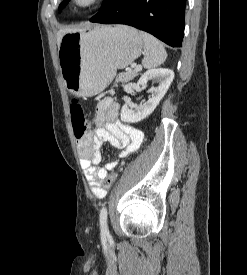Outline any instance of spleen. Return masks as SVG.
Wrapping results in <instances>:
<instances>
[{
  "mask_svg": "<svg viewBox=\"0 0 247 275\" xmlns=\"http://www.w3.org/2000/svg\"><path fill=\"white\" fill-rule=\"evenodd\" d=\"M140 36L144 42V59L142 65L146 69L157 67L164 63L167 58L163 44L152 35L140 31Z\"/></svg>",
  "mask_w": 247,
  "mask_h": 275,
  "instance_id": "spleen-1",
  "label": "spleen"
}]
</instances>
